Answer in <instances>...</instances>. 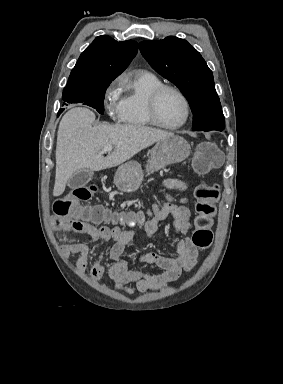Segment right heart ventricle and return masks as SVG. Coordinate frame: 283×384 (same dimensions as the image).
Instances as JSON below:
<instances>
[{"instance_id": "right-heart-ventricle-1", "label": "right heart ventricle", "mask_w": 283, "mask_h": 384, "mask_svg": "<svg viewBox=\"0 0 283 384\" xmlns=\"http://www.w3.org/2000/svg\"><path fill=\"white\" fill-rule=\"evenodd\" d=\"M161 85L162 82L155 75L147 72H138L129 77L124 85L125 94L121 99V121L133 128H150L152 124L145 113V102Z\"/></svg>"}]
</instances>
